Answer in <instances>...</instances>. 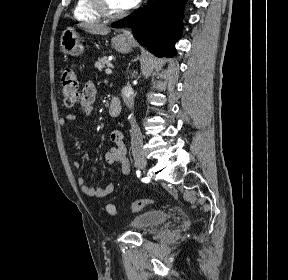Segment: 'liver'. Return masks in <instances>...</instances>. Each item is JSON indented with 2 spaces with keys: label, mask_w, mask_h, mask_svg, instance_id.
Here are the masks:
<instances>
[{
  "label": "liver",
  "mask_w": 288,
  "mask_h": 280,
  "mask_svg": "<svg viewBox=\"0 0 288 280\" xmlns=\"http://www.w3.org/2000/svg\"><path fill=\"white\" fill-rule=\"evenodd\" d=\"M78 27L95 35H107L110 32V28L103 24L80 23Z\"/></svg>",
  "instance_id": "6515ba94"
}]
</instances>
